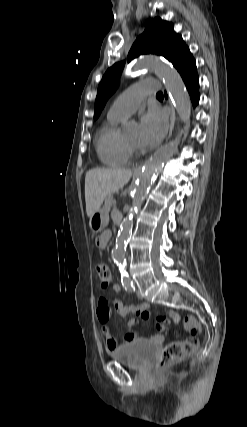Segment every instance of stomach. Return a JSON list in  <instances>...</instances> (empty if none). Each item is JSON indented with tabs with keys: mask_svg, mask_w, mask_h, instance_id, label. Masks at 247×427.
<instances>
[{
	"mask_svg": "<svg viewBox=\"0 0 247 427\" xmlns=\"http://www.w3.org/2000/svg\"><path fill=\"white\" fill-rule=\"evenodd\" d=\"M108 221V213L104 209H99L90 217L89 225L93 232L98 233L104 230Z\"/></svg>",
	"mask_w": 247,
	"mask_h": 427,
	"instance_id": "1",
	"label": "stomach"
}]
</instances>
